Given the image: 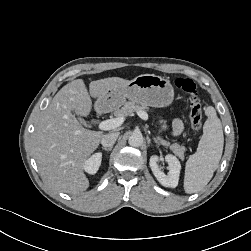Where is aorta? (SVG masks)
Here are the masks:
<instances>
[{
    "label": "aorta",
    "mask_w": 251,
    "mask_h": 251,
    "mask_svg": "<svg viewBox=\"0 0 251 251\" xmlns=\"http://www.w3.org/2000/svg\"><path fill=\"white\" fill-rule=\"evenodd\" d=\"M128 143L132 147H140L143 144V136L140 132H134L130 135Z\"/></svg>",
    "instance_id": "aorta-1"
}]
</instances>
